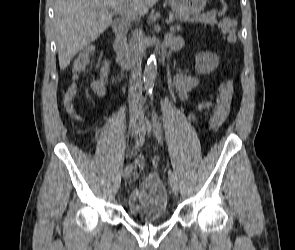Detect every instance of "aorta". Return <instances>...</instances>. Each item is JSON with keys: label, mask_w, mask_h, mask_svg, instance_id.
<instances>
[{"label": "aorta", "mask_w": 295, "mask_h": 250, "mask_svg": "<svg viewBox=\"0 0 295 250\" xmlns=\"http://www.w3.org/2000/svg\"><path fill=\"white\" fill-rule=\"evenodd\" d=\"M157 75V60L154 55H151L147 61L144 70V88L146 92H151Z\"/></svg>", "instance_id": "1"}]
</instances>
